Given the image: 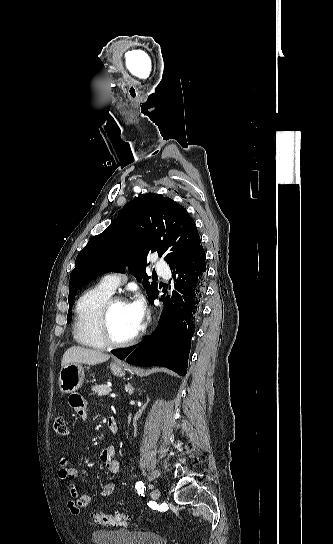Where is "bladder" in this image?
I'll return each instance as SVG.
<instances>
[{"label":"bladder","mask_w":333,"mask_h":544,"mask_svg":"<svg viewBox=\"0 0 333 544\" xmlns=\"http://www.w3.org/2000/svg\"><path fill=\"white\" fill-rule=\"evenodd\" d=\"M92 540L94 544H167L157 533L124 529L97 530L93 533Z\"/></svg>","instance_id":"bladder-1"}]
</instances>
